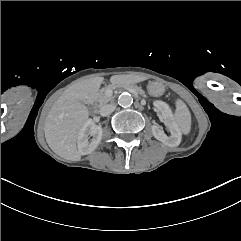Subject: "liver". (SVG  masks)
Wrapping results in <instances>:
<instances>
[{
  "mask_svg": "<svg viewBox=\"0 0 241 241\" xmlns=\"http://www.w3.org/2000/svg\"><path fill=\"white\" fill-rule=\"evenodd\" d=\"M116 76L110 81L115 83ZM103 77H92L71 85L54 103L45 120V138L51 150L58 156L79 161L77 135L88 120L89 112L85 104L93 103L98 94Z\"/></svg>",
  "mask_w": 241,
  "mask_h": 241,
  "instance_id": "liver-1",
  "label": "liver"
}]
</instances>
